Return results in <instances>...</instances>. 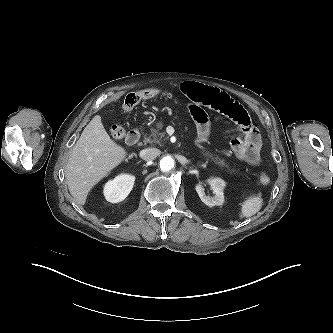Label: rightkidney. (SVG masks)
Returning a JSON list of instances; mask_svg holds the SVG:
<instances>
[{
	"instance_id": "obj_1",
	"label": "right kidney",
	"mask_w": 333,
	"mask_h": 333,
	"mask_svg": "<svg viewBox=\"0 0 333 333\" xmlns=\"http://www.w3.org/2000/svg\"><path fill=\"white\" fill-rule=\"evenodd\" d=\"M135 177L127 174L117 176L104 186V196L111 203L123 201L131 192Z\"/></svg>"
}]
</instances>
